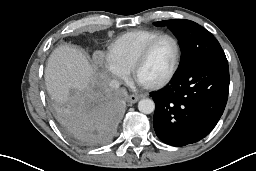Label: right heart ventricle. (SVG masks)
<instances>
[{
	"label": "right heart ventricle",
	"mask_w": 256,
	"mask_h": 171,
	"mask_svg": "<svg viewBox=\"0 0 256 171\" xmlns=\"http://www.w3.org/2000/svg\"><path fill=\"white\" fill-rule=\"evenodd\" d=\"M160 34L158 31L145 29L127 32L110 44L108 57L125 70H131L147 43Z\"/></svg>",
	"instance_id": "right-heart-ventricle-1"
}]
</instances>
